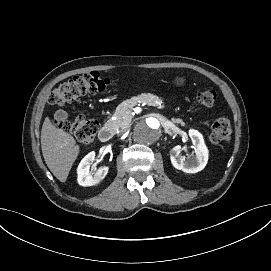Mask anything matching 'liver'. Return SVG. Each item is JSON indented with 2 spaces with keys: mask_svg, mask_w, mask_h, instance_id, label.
<instances>
[{
  "mask_svg": "<svg viewBox=\"0 0 271 271\" xmlns=\"http://www.w3.org/2000/svg\"><path fill=\"white\" fill-rule=\"evenodd\" d=\"M41 148L50 171L59 181L65 182L79 154L74 138L56 128L46 117L41 130Z\"/></svg>",
  "mask_w": 271,
  "mask_h": 271,
  "instance_id": "liver-1",
  "label": "liver"
}]
</instances>
